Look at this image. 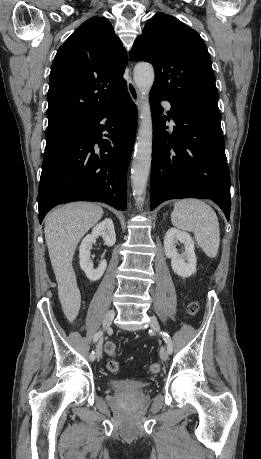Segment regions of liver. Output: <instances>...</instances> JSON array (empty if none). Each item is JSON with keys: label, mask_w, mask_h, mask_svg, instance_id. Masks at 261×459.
Returning a JSON list of instances; mask_svg holds the SVG:
<instances>
[{"label": "liver", "mask_w": 261, "mask_h": 459, "mask_svg": "<svg viewBox=\"0 0 261 459\" xmlns=\"http://www.w3.org/2000/svg\"><path fill=\"white\" fill-rule=\"evenodd\" d=\"M103 216V209L93 203L73 202L55 209L45 220V240L63 305L78 291L72 260L82 237Z\"/></svg>", "instance_id": "obj_1"}]
</instances>
